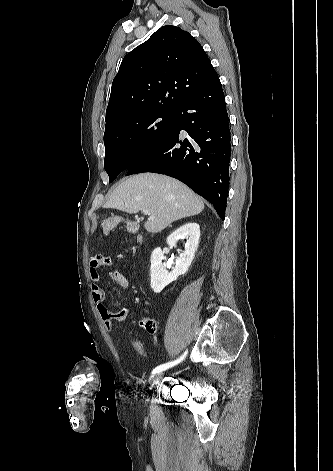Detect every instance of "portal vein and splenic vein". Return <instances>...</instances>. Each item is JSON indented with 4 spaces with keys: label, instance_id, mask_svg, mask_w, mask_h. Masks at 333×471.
Listing matches in <instances>:
<instances>
[{
    "label": "portal vein and splenic vein",
    "instance_id": "obj_1",
    "mask_svg": "<svg viewBox=\"0 0 333 471\" xmlns=\"http://www.w3.org/2000/svg\"><path fill=\"white\" fill-rule=\"evenodd\" d=\"M143 213H144L145 215H150V211H149V210H143Z\"/></svg>",
    "mask_w": 333,
    "mask_h": 471
}]
</instances>
